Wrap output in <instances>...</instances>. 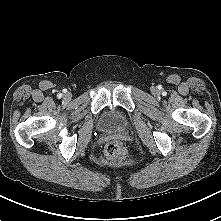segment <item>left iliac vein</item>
<instances>
[{
  "label": "left iliac vein",
  "mask_w": 221,
  "mask_h": 221,
  "mask_svg": "<svg viewBox=\"0 0 221 221\" xmlns=\"http://www.w3.org/2000/svg\"><path fill=\"white\" fill-rule=\"evenodd\" d=\"M152 93H153L154 95H156V94H157V90H156V89H153V90H152Z\"/></svg>",
  "instance_id": "left-iliac-vein-1"
}]
</instances>
